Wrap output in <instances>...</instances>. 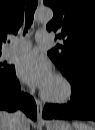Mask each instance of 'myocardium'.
Here are the masks:
<instances>
[{
	"instance_id": "obj_1",
	"label": "myocardium",
	"mask_w": 95,
	"mask_h": 130,
	"mask_svg": "<svg viewBox=\"0 0 95 130\" xmlns=\"http://www.w3.org/2000/svg\"><path fill=\"white\" fill-rule=\"evenodd\" d=\"M53 77L57 80H59L64 87V91L61 95L59 96H51L48 95L44 89L41 91V97L48 102L51 103H65L70 100L73 94V87L71 82L66 78L63 74L61 73H56L53 75Z\"/></svg>"
}]
</instances>
